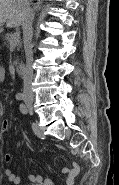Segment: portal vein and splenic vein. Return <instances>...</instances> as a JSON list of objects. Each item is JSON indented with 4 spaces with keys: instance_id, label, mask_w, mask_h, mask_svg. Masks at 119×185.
<instances>
[{
    "instance_id": "obj_1",
    "label": "portal vein and splenic vein",
    "mask_w": 119,
    "mask_h": 185,
    "mask_svg": "<svg viewBox=\"0 0 119 185\" xmlns=\"http://www.w3.org/2000/svg\"><path fill=\"white\" fill-rule=\"evenodd\" d=\"M20 34L18 32L14 33L10 39V46H16L19 43Z\"/></svg>"
}]
</instances>
